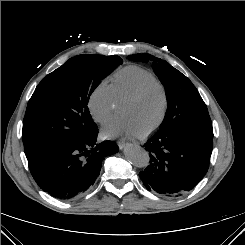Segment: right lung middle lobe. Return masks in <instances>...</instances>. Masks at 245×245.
Returning <instances> with one entry per match:
<instances>
[{"label":"right lung middle lobe","instance_id":"obj_1","mask_svg":"<svg viewBox=\"0 0 245 245\" xmlns=\"http://www.w3.org/2000/svg\"><path fill=\"white\" fill-rule=\"evenodd\" d=\"M122 63L119 56L83 54L70 58L36 87L23 120L27 159L97 129L88 102L101 80Z\"/></svg>","mask_w":245,"mask_h":245}]
</instances>
